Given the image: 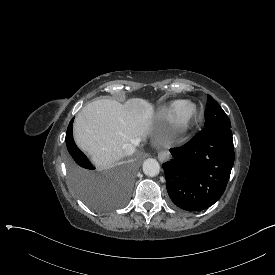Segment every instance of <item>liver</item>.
<instances>
[{
  "mask_svg": "<svg viewBox=\"0 0 275 275\" xmlns=\"http://www.w3.org/2000/svg\"><path fill=\"white\" fill-rule=\"evenodd\" d=\"M153 106L132 98L124 104L101 99L81 109L74 122V139L86 151L98 171L109 169L125 156L122 146L137 145L147 135Z\"/></svg>",
  "mask_w": 275,
  "mask_h": 275,
  "instance_id": "6515ba94",
  "label": "liver"
}]
</instances>
